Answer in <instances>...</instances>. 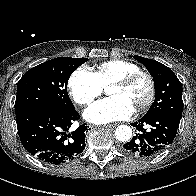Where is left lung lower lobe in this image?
Wrapping results in <instances>:
<instances>
[{
	"label": "left lung lower lobe",
	"mask_w": 196,
	"mask_h": 196,
	"mask_svg": "<svg viewBox=\"0 0 196 196\" xmlns=\"http://www.w3.org/2000/svg\"><path fill=\"white\" fill-rule=\"evenodd\" d=\"M179 123L180 119L164 113L144 115L131 124L139 132L124 144L123 151L139 158L153 157L173 142Z\"/></svg>",
	"instance_id": "obj_1"
}]
</instances>
